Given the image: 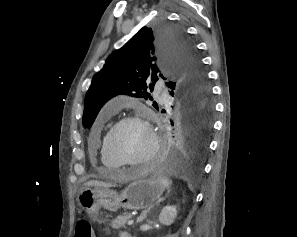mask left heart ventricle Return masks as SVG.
Here are the masks:
<instances>
[{
  "instance_id": "obj_1",
  "label": "left heart ventricle",
  "mask_w": 297,
  "mask_h": 237,
  "mask_svg": "<svg viewBox=\"0 0 297 237\" xmlns=\"http://www.w3.org/2000/svg\"><path fill=\"white\" fill-rule=\"evenodd\" d=\"M112 145L123 159L135 161L148 154L151 139L142 124L129 122L115 131L112 136Z\"/></svg>"
}]
</instances>
